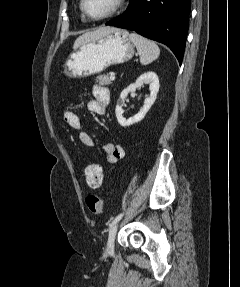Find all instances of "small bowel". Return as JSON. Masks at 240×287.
Segmentation results:
<instances>
[{"label":"small bowel","mask_w":240,"mask_h":287,"mask_svg":"<svg viewBox=\"0 0 240 287\" xmlns=\"http://www.w3.org/2000/svg\"><path fill=\"white\" fill-rule=\"evenodd\" d=\"M92 93L93 98L87 103L88 110L97 115H104L110 103L109 90L101 85H94ZM63 119L71 128L81 130V121L76 113L66 110L63 114ZM79 138L82 144L87 147L94 145L93 138L86 131L81 130ZM103 150L105 161L109 164H114L125 156L124 148L117 143L107 142L103 145Z\"/></svg>","instance_id":"small-bowel-1"}]
</instances>
